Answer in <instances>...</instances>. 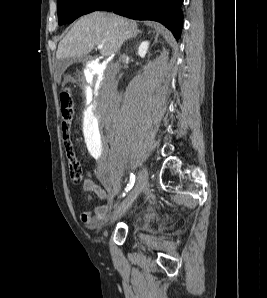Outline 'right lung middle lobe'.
I'll return each mask as SVG.
<instances>
[{
    "label": "right lung middle lobe",
    "mask_w": 267,
    "mask_h": 298,
    "mask_svg": "<svg viewBox=\"0 0 267 298\" xmlns=\"http://www.w3.org/2000/svg\"><path fill=\"white\" fill-rule=\"evenodd\" d=\"M104 0H58L59 25L72 23L78 17L96 10Z\"/></svg>",
    "instance_id": "obj_1"
}]
</instances>
